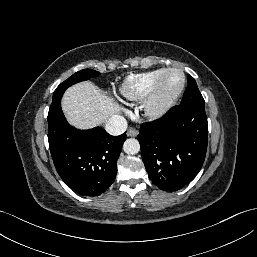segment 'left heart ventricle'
Wrapping results in <instances>:
<instances>
[{
    "instance_id": "obj_1",
    "label": "left heart ventricle",
    "mask_w": 257,
    "mask_h": 257,
    "mask_svg": "<svg viewBox=\"0 0 257 257\" xmlns=\"http://www.w3.org/2000/svg\"><path fill=\"white\" fill-rule=\"evenodd\" d=\"M182 83V76L178 72L170 73L165 79L163 92L165 95H170L176 92Z\"/></svg>"
}]
</instances>
